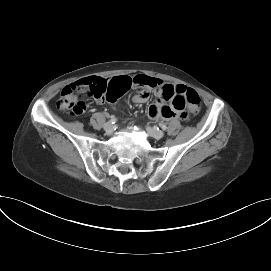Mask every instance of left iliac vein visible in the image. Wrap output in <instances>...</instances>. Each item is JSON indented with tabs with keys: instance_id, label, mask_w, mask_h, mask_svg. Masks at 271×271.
<instances>
[{
	"instance_id": "4c4485c4",
	"label": "left iliac vein",
	"mask_w": 271,
	"mask_h": 271,
	"mask_svg": "<svg viewBox=\"0 0 271 271\" xmlns=\"http://www.w3.org/2000/svg\"><path fill=\"white\" fill-rule=\"evenodd\" d=\"M147 132L155 139H161L164 136V132L155 128L147 127Z\"/></svg>"
}]
</instances>
